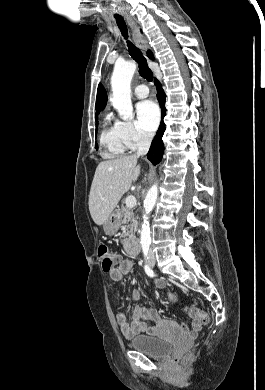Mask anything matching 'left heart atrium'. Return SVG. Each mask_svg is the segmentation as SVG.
<instances>
[{
    "label": "left heart atrium",
    "instance_id": "39dd6f15",
    "mask_svg": "<svg viewBox=\"0 0 265 390\" xmlns=\"http://www.w3.org/2000/svg\"><path fill=\"white\" fill-rule=\"evenodd\" d=\"M137 124L140 129L152 133L158 126L160 114L157 105L150 100L139 102L136 106Z\"/></svg>",
    "mask_w": 265,
    "mask_h": 390
}]
</instances>
